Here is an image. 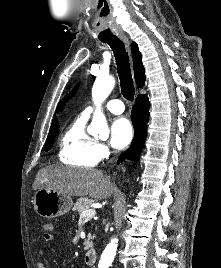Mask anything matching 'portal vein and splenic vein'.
Here are the masks:
<instances>
[{"instance_id":"18ae733b","label":"portal vein and splenic vein","mask_w":221,"mask_h":268,"mask_svg":"<svg viewBox=\"0 0 221 268\" xmlns=\"http://www.w3.org/2000/svg\"><path fill=\"white\" fill-rule=\"evenodd\" d=\"M96 214V211L94 209H86L80 214L81 219L90 220L92 219Z\"/></svg>"}]
</instances>
